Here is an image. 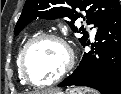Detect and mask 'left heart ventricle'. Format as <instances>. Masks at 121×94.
Here are the masks:
<instances>
[{
	"instance_id": "obj_1",
	"label": "left heart ventricle",
	"mask_w": 121,
	"mask_h": 94,
	"mask_svg": "<svg viewBox=\"0 0 121 94\" xmlns=\"http://www.w3.org/2000/svg\"><path fill=\"white\" fill-rule=\"evenodd\" d=\"M66 56L60 44L51 40L37 43L29 52L26 68L36 83H46L59 74L65 65Z\"/></svg>"
}]
</instances>
